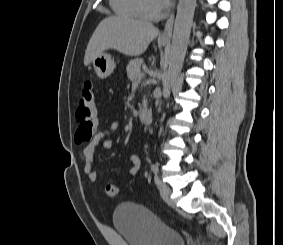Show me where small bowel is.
Returning <instances> with one entry per match:
<instances>
[{
  "label": "small bowel",
  "mask_w": 283,
  "mask_h": 245,
  "mask_svg": "<svg viewBox=\"0 0 283 245\" xmlns=\"http://www.w3.org/2000/svg\"><path fill=\"white\" fill-rule=\"evenodd\" d=\"M120 128V122H112L106 129L98 132L94 138L80 151V156L83 161V172L92 185H96L98 182L97 173L93 170L94 152L98 145H101L103 149L110 150L113 146V142L108 137L115 133ZM129 160L131 163L129 173L131 175H137L141 168V160L137 155H130Z\"/></svg>",
  "instance_id": "1"
}]
</instances>
